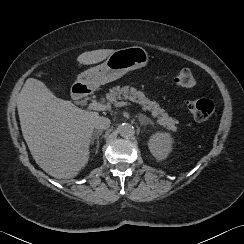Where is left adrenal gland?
<instances>
[{
	"label": "left adrenal gland",
	"mask_w": 244,
	"mask_h": 244,
	"mask_svg": "<svg viewBox=\"0 0 244 244\" xmlns=\"http://www.w3.org/2000/svg\"><path fill=\"white\" fill-rule=\"evenodd\" d=\"M137 117H138V120H139L141 126L148 125V124H151V125L154 124L150 118L146 117L143 114H138Z\"/></svg>",
	"instance_id": "a2214340"
}]
</instances>
